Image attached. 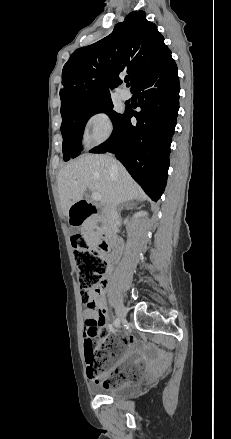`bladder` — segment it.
<instances>
[{
    "label": "bladder",
    "mask_w": 231,
    "mask_h": 439,
    "mask_svg": "<svg viewBox=\"0 0 231 439\" xmlns=\"http://www.w3.org/2000/svg\"><path fill=\"white\" fill-rule=\"evenodd\" d=\"M125 370L130 374L141 375L143 372V366L135 360H132L125 366ZM92 390L98 395L108 396L112 398H129L134 396V394L138 390V387L125 384H121L115 387L94 385L92 386Z\"/></svg>",
    "instance_id": "1"
}]
</instances>
